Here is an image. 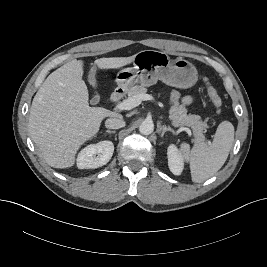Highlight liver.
<instances>
[{
	"instance_id": "obj_1",
	"label": "liver",
	"mask_w": 267,
	"mask_h": 267,
	"mask_svg": "<svg viewBox=\"0 0 267 267\" xmlns=\"http://www.w3.org/2000/svg\"><path fill=\"white\" fill-rule=\"evenodd\" d=\"M131 57L100 58V69H116L133 62ZM83 61L72 60L43 82L32 101L29 133L46 163L54 168L74 165L77 151L98 131L106 117H121L101 107L89 106Z\"/></svg>"
}]
</instances>
